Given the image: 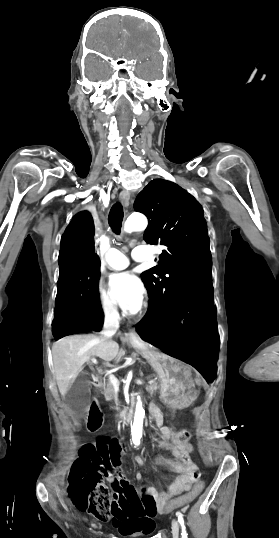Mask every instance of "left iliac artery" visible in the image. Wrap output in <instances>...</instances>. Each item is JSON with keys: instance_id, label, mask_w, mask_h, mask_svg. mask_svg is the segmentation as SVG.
<instances>
[{"instance_id": "44dca946", "label": "left iliac artery", "mask_w": 279, "mask_h": 538, "mask_svg": "<svg viewBox=\"0 0 279 538\" xmlns=\"http://www.w3.org/2000/svg\"><path fill=\"white\" fill-rule=\"evenodd\" d=\"M177 516H178V521L181 525V529H182V538H187V533H186V528H185V525H184V519H183V516L180 512L177 513Z\"/></svg>"}]
</instances>
